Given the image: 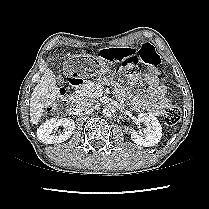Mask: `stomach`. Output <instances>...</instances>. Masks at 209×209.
Masks as SVG:
<instances>
[{"label":"stomach","mask_w":209,"mask_h":209,"mask_svg":"<svg viewBox=\"0 0 209 209\" xmlns=\"http://www.w3.org/2000/svg\"><path fill=\"white\" fill-rule=\"evenodd\" d=\"M107 65V61L103 57L72 56L65 61L64 67L69 74L94 79L107 71Z\"/></svg>","instance_id":"1"}]
</instances>
